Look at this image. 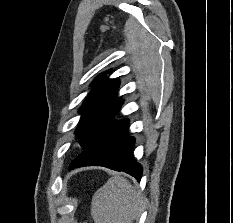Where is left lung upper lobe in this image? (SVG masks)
Returning <instances> with one entry per match:
<instances>
[{
    "instance_id": "5c2ea615",
    "label": "left lung upper lobe",
    "mask_w": 233,
    "mask_h": 223,
    "mask_svg": "<svg viewBox=\"0 0 233 223\" xmlns=\"http://www.w3.org/2000/svg\"><path fill=\"white\" fill-rule=\"evenodd\" d=\"M99 75L94 81V88L80 107L81 121L76 130L82 148L88 146L119 111L120 101H110L119 87V81L105 78L107 73ZM99 82V83H97ZM97 83V84H96Z\"/></svg>"
}]
</instances>
